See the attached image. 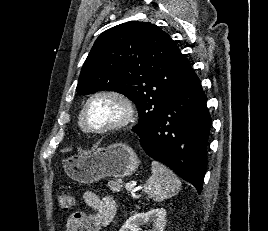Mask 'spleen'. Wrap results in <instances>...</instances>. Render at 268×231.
<instances>
[{
	"mask_svg": "<svg viewBox=\"0 0 268 231\" xmlns=\"http://www.w3.org/2000/svg\"><path fill=\"white\" fill-rule=\"evenodd\" d=\"M151 176L144 185L148 198L161 202L178 194L181 182L172 170L157 161H152Z\"/></svg>",
	"mask_w": 268,
	"mask_h": 231,
	"instance_id": "obj_1",
	"label": "spleen"
}]
</instances>
